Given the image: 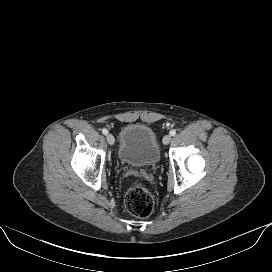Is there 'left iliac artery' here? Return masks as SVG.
<instances>
[{
  "instance_id": "1",
  "label": "left iliac artery",
  "mask_w": 272,
  "mask_h": 272,
  "mask_svg": "<svg viewBox=\"0 0 272 272\" xmlns=\"http://www.w3.org/2000/svg\"><path fill=\"white\" fill-rule=\"evenodd\" d=\"M170 135H171V136H175V135H176V131H175V130H171V131H170Z\"/></svg>"
}]
</instances>
